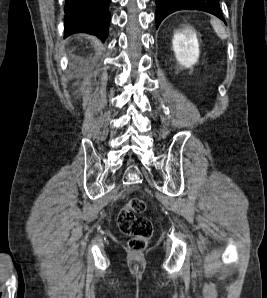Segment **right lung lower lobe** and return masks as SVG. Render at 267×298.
<instances>
[{
    "mask_svg": "<svg viewBox=\"0 0 267 298\" xmlns=\"http://www.w3.org/2000/svg\"><path fill=\"white\" fill-rule=\"evenodd\" d=\"M110 0H66L65 37L85 32L105 40L108 35Z\"/></svg>",
    "mask_w": 267,
    "mask_h": 298,
    "instance_id": "1",
    "label": "right lung lower lobe"
}]
</instances>
